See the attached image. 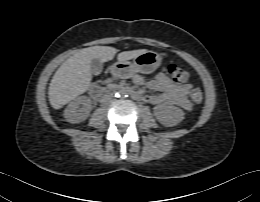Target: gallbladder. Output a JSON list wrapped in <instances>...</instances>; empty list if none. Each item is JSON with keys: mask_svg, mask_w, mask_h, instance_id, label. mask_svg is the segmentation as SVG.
Segmentation results:
<instances>
[{"mask_svg": "<svg viewBox=\"0 0 260 202\" xmlns=\"http://www.w3.org/2000/svg\"><path fill=\"white\" fill-rule=\"evenodd\" d=\"M90 70L93 75H99L103 70L101 60L98 58H93L90 64Z\"/></svg>", "mask_w": 260, "mask_h": 202, "instance_id": "obj_1", "label": "gallbladder"}]
</instances>
